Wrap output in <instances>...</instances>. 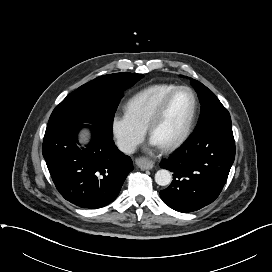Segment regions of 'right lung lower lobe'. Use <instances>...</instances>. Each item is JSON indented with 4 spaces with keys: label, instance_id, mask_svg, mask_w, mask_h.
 <instances>
[{
    "label": "right lung lower lobe",
    "instance_id": "right-lung-lower-lobe-1",
    "mask_svg": "<svg viewBox=\"0 0 272 272\" xmlns=\"http://www.w3.org/2000/svg\"><path fill=\"white\" fill-rule=\"evenodd\" d=\"M84 126L91 129L92 140L79 148L77 134ZM42 153L57 190L81 208L97 209L112 202L133 170L131 158L95 125L68 123L46 129Z\"/></svg>",
    "mask_w": 272,
    "mask_h": 272
}]
</instances>
